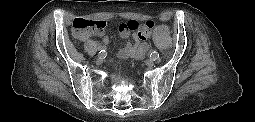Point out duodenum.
Listing matches in <instances>:
<instances>
[{
	"label": "duodenum",
	"instance_id": "duodenum-1",
	"mask_svg": "<svg viewBox=\"0 0 255 122\" xmlns=\"http://www.w3.org/2000/svg\"><path fill=\"white\" fill-rule=\"evenodd\" d=\"M88 39H89V38L83 39V37H82V40H83V41L88 40Z\"/></svg>",
	"mask_w": 255,
	"mask_h": 122
}]
</instances>
